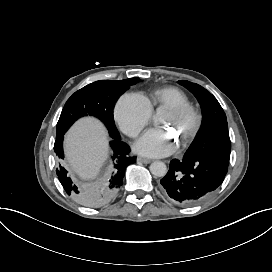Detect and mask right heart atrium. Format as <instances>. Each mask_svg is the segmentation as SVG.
<instances>
[{
	"mask_svg": "<svg viewBox=\"0 0 272 272\" xmlns=\"http://www.w3.org/2000/svg\"><path fill=\"white\" fill-rule=\"evenodd\" d=\"M116 117L122 130L132 138H137L152 119V106L139 93L124 94L116 106Z\"/></svg>",
	"mask_w": 272,
	"mask_h": 272,
	"instance_id": "right-heart-atrium-1",
	"label": "right heart atrium"
}]
</instances>
